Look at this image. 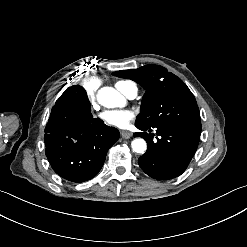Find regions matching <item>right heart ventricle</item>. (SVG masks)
<instances>
[{
    "label": "right heart ventricle",
    "instance_id": "right-heart-ventricle-1",
    "mask_svg": "<svg viewBox=\"0 0 247 247\" xmlns=\"http://www.w3.org/2000/svg\"><path fill=\"white\" fill-rule=\"evenodd\" d=\"M123 84H118V88L123 91Z\"/></svg>",
    "mask_w": 247,
    "mask_h": 247
}]
</instances>
